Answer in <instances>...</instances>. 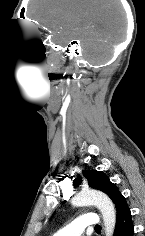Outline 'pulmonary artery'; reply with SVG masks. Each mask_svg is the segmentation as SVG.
I'll use <instances>...</instances> for the list:
<instances>
[{"label":"pulmonary artery","mask_w":145,"mask_h":236,"mask_svg":"<svg viewBox=\"0 0 145 236\" xmlns=\"http://www.w3.org/2000/svg\"><path fill=\"white\" fill-rule=\"evenodd\" d=\"M98 224L99 217L96 214L86 213L58 230L53 236H81L86 227H94Z\"/></svg>","instance_id":"pulmonary-artery-1"}]
</instances>
